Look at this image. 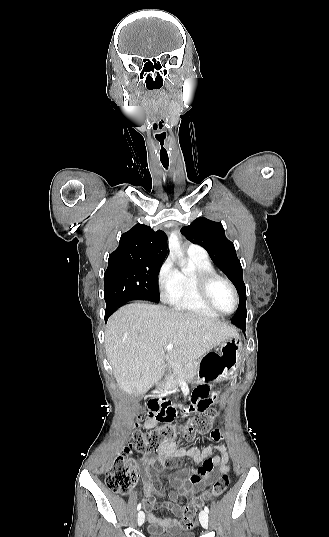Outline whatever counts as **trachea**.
I'll return each instance as SVG.
<instances>
[{"mask_svg": "<svg viewBox=\"0 0 329 537\" xmlns=\"http://www.w3.org/2000/svg\"><path fill=\"white\" fill-rule=\"evenodd\" d=\"M168 163H163L164 168H168Z\"/></svg>", "mask_w": 329, "mask_h": 537, "instance_id": "obj_1", "label": "trachea"}]
</instances>
